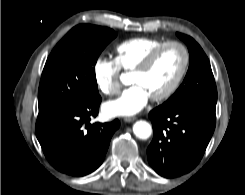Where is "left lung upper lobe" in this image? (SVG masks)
I'll return each mask as SVG.
<instances>
[{"label": "left lung upper lobe", "mask_w": 245, "mask_h": 195, "mask_svg": "<svg viewBox=\"0 0 245 195\" xmlns=\"http://www.w3.org/2000/svg\"><path fill=\"white\" fill-rule=\"evenodd\" d=\"M188 46L190 65L186 77L165 104L202 105L216 108L217 89L209 60L190 36L177 33Z\"/></svg>", "instance_id": "obj_1"}]
</instances>
